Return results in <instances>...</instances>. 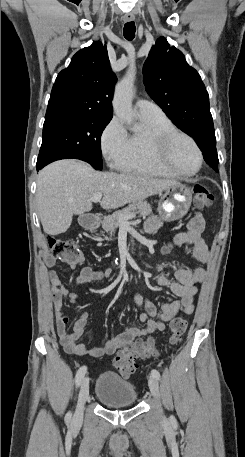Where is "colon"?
Returning a JSON list of instances; mask_svg holds the SVG:
<instances>
[{"label":"colon","mask_w":245,"mask_h":457,"mask_svg":"<svg viewBox=\"0 0 245 457\" xmlns=\"http://www.w3.org/2000/svg\"><path fill=\"white\" fill-rule=\"evenodd\" d=\"M195 203L199 208H205L213 203L214 197L205 185H197L194 188ZM47 244L50 255L59 259L80 260L81 252L78 245L69 239L47 236ZM188 321L185 317H178L171 321L169 328V342L176 344L185 334ZM157 354L153 339L134 340L118 351L113 359L116 371L122 377L131 376L137 369L136 360L149 358Z\"/></svg>","instance_id":"5ec220e1"}]
</instances>
